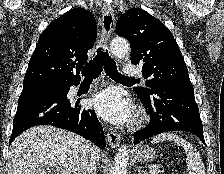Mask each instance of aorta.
Returning <instances> with one entry per match:
<instances>
[{
	"label": "aorta",
	"mask_w": 224,
	"mask_h": 174,
	"mask_svg": "<svg viewBox=\"0 0 224 174\" xmlns=\"http://www.w3.org/2000/svg\"><path fill=\"white\" fill-rule=\"evenodd\" d=\"M110 48L112 54L118 59L125 58L130 51L128 41L122 37L114 38L111 42ZM127 164H128L127 146L122 145L118 149V153L115 156L111 174H127Z\"/></svg>",
	"instance_id": "762f6f07"
}]
</instances>
